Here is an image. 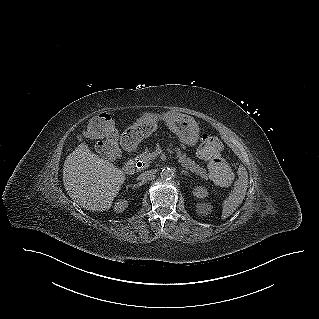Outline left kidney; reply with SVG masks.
Here are the masks:
<instances>
[{"label": "left kidney", "mask_w": 319, "mask_h": 319, "mask_svg": "<svg viewBox=\"0 0 319 319\" xmlns=\"http://www.w3.org/2000/svg\"><path fill=\"white\" fill-rule=\"evenodd\" d=\"M194 196L197 198H204L207 196L208 192L204 187L197 186L193 191ZM197 211L200 214L207 215L211 212V206L206 204H198Z\"/></svg>", "instance_id": "5707ae66"}]
</instances>
